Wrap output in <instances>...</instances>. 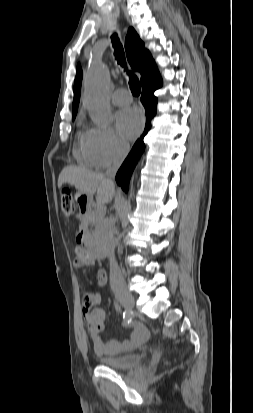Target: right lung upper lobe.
<instances>
[{"label": "right lung upper lobe", "instance_id": "cb5924a9", "mask_svg": "<svg viewBox=\"0 0 253 413\" xmlns=\"http://www.w3.org/2000/svg\"><path fill=\"white\" fill-rule=\"evenodd\" d=\"M125 49L128 61L134 71L141 74V83L147 78L158 73L156 64L148 50L144 48V43L140 40L138 34L133 28H129L125 39ZM82 81V69L80 65L77 66L76 77L74 82V100H73V114L76 116L78 103L80 99V89Z\"/></svg>", "mask_w": 253, "mask_h": 413}]
</instances>
